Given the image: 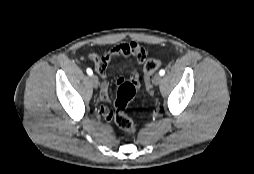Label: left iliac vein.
<instances>
[{"label":"left iliac vein","instance_id":"obj_1","mask_svg":"<svg viewBox=\"0 0 254 174\" xmlns=\"http://www.w3.org/2000/svg\"><path fill=\"white\" fill-rule=\"evenodd\" d=\"M161 81H162V76L160 75V74H156L155 76H154V78H153V83L155 84V85H159L160 83H161Z\"/></svg>","mask_w":254,"mask_h":174}]
</instances>
